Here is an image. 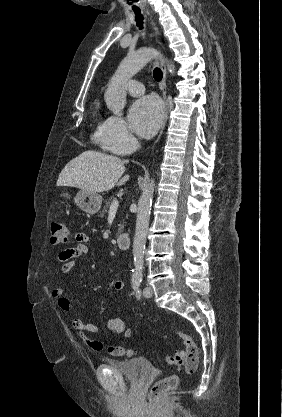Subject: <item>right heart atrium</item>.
Wrapping results in <instances>:
<instances>
[{"instance_id":"1","label":"right heart atrium","mask_w":282,"mask_h":417,"mask_svg":"<svg viewBox=\"0 0 282 417\" xmlns=\"http://www.w3.org/2000/svg\"><path fill=\"white\" fill-rule=\"evenodd\" d=\"M104 146L117 154H128L135 149L136 140L121 118H109Z\"/></svg>"}]
</instances>
